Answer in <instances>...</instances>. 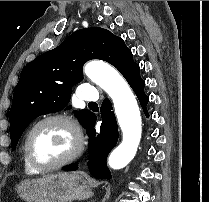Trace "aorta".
Returning <instances> with one entry per match:
<instances>
[{"label":"aorta","mask_w":209,"mask_h":202,"mask_svg":"<svg viewBox=\"0 0 209 202\" xmlns=\"http://www.w3.org/2000/svg\"><path fill=\"white\" fill-rule=\"evenodd\" d=\"M85 75L112 99L122 142L111 152L108 164L113 169L125 167L136 155L142 134V121L136 98L125 79L112 66L99 61L84 67Z\"/></svg>","instance_id":"obj_1"}]
</instances>
